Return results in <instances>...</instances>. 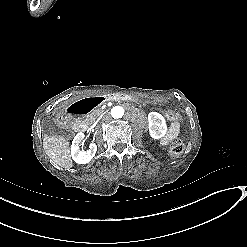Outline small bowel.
<instances>
[{
  "instance_id": "1",
  "label": "small bowel",
  "mask_w": 247,
  "mask_h": 247,
  "mask_svg": "<svg viewBox=\"0 0 247 247\" xmlns=\"http://www.w3.org/2000/svg\"><path fill=\"white\" fill-rule=\"evenodd\" d=\"M180 133V124L177 120H174L170 125L166 135L161 139V145H167L174 141Z\"/></svg>"
}]
</instances>
